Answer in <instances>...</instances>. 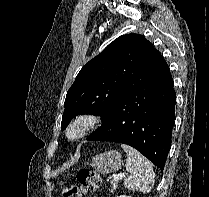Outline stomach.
Returning a JSON list of instances; mask_svg holds the SVG:
<instances>
[{
    "label": "stomach",
    "instance_id": "1",
    "mask_svg": "<svg viewBox=\"0 0 209 197\" xmlns=\"http://www.w3.org/2000/svg\"><path fill=\"white\" fill-rule=\"evenodd\" d=\"M121 154L116 150H110L92 158L91 166L101 174L118 171L122 166Z\"/></svg>",
    "mask_w": 209,
    "mask_h": 197
}]
</instances>
